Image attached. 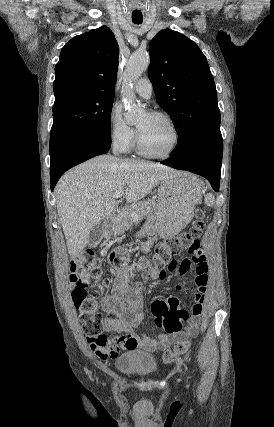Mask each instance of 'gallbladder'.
Instances as JSON below:
<instances>
[{
  "instance_id": "1",
  "label": "gallbladder",
  "mask_w": 274,
  "mask_h": 427,
  "mask_svg": "<svg viewBox=\"0 0 274 427\" xmlns=\"http://www.w3.org/2000/svg\"><path fill=\"white\" fill-rule=\"evenodd\" d=\"M103 231H104L103 221H100L98 225H95V227H92L89 235V241H88V245H90V247H96V245H98L99 241H101L102 239Z\"/></svg>"
}]
</instances>
